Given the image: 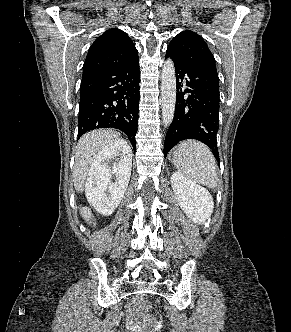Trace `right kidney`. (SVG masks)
I'll return each mask as SVG.
<instances>
[{"mask_svg": "<svg viewBox=\"0 0 291 332\" xmlns=\"http://www.w3.org/2000/svg\"><path fill=\"white\" fill-rule=\"evenodd\" d=\"M123 140L106 145L96 156L88 173L85 193L89 203L101 214L111 215L128 187L132 158ZM115 158V162L112 159ZM112 176L116 181L112 182Z\"/></svg>", "mask_w": 291, "mask_h": 332, "instance_id": "ca27d5eb", "label": "right kidney"}]
</instances>
